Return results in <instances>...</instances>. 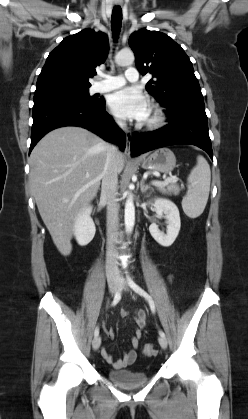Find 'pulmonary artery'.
Here are the masks:
<instances>
[{
  "mask_svg": "<svg viewBox=\"0 0 248 419\" xmlns=\"http://www.w3.org/2000/svg\"><path fill=\"white\" fill-rule=\"evenodd\" d=\"M103 80L96 83L93 87L94 92H107L118 89L125 85L126 81L136 82L139 74L136 67L130 66L124 75H102Z\"/></svg>",
  "mask_w": 248,
  "mask_h": 419,
  "instance_id": "e3ab8cb5",
  "label": "pulmonary artery"
}]
</instances>
